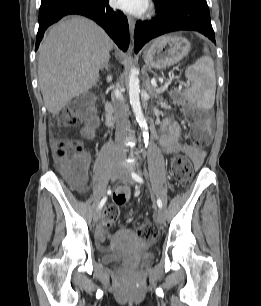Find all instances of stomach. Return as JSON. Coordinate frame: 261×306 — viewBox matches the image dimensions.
<instances>
[{
	"instance_id": "stomach-1",
	"label": "stomach",
	"mask_w": 261,
	"mask_h": 306,
	"mask_svg": "<svg viewBox=\"0 0 261 306\" xmlns=\"http://www.w3.org/2000/svg\"><path fill=\"white\" fill-rule=\"evenodd\" d=\"M190 51V42L180 36L164 35L156 38L144 50L146 65L164 69L181 61Z\"/></svg>"
}]
</instances>
